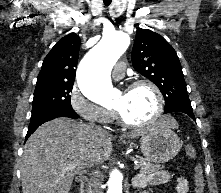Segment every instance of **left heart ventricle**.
<instances>
[{
	"mask_svg": "<svg viewBox=\"0 0 221 193\" xmlns=\"http://www.w3.org/2000/svg\"><path fill=\"white\" fill-rule=\"evenodd\" d=\"M131 122L147 121L154 113L156 99L149 87L142 86L120 92L113 104Z\"/></svg>",
	"mask_w": 221,
	"mask_h": 193,
	"instance_id": "left-heart-ventricle-1",
	"label": "left heart ventricle"
}]
</instances>
